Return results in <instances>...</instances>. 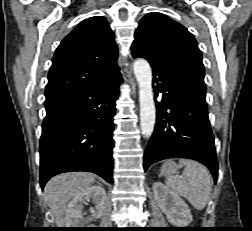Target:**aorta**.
Returning a JSON list of instances; mask_svg holds the SVG:
<instances>
[{"label":"aorta","instance_id":"obj_1","mask_svg":"<svg viewBox=\"0 0 252 231\" xmlns=\"http://www.w3.org/2000/svg\"><path fill=\"white\" fill-rule=\"evenodd\" d=\"M139 86L140 126L142 134L149 138L155 127L156 109L152 89V70L145 59H137L133 65Z\"/></svg>","mask_w":252,"mask_h":231}]
</instances>
